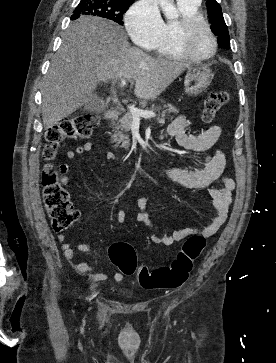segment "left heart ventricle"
Returning <instances> with one entry per match:
<instances>
[{
    "mask_svg": "<svg viewBox=\"0 0 276 363\" xmlns=\"http://www.w3.org/2000/svg\"><path fill=\"white\" fill-rule=\"evenodd\" d=\"M188 47L196 55L205 56L212 50V41L203 26L196 27L188 38Z\"/></svg>",
    "mask_w": 276,
    "mask_h": 363,
    "instance_id": "b2bd125f",
    "label": "left heart ventricle"
}]
</instances>
